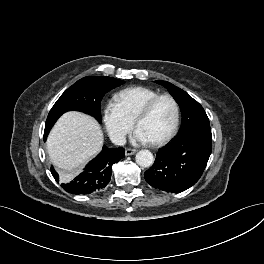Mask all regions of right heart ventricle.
<instances>
[{"mask_svg":"<svg viewBox=\"0 0 264 264\" xmlns=\"http://www.w3.org/2000/svg\"><path fill=\"white\" fill-rule=\"evenodd\" d=\"M159 94L158 91L145 87L134 86L117 92L114 96L115 103L121 111L132 121L142 107L153 97Z\"/></svg>","mask_w":264,"mask_h":264,"instance_id":"obj_1","label":"right heart ventricle"}]
</instances>
